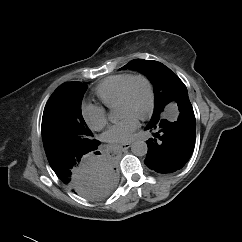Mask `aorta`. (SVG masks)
<instances>
[{"mask_svg":"<svg viewBox=\"0 0 242 242\" xmlns=\"http://www.w3.org/2000/svg\"><path fill=\"white\" fill-rule=\"evenodd\" d=\"M117 117L114 113H109L108 120L111 122L116 121ZM131 151L135 156L142 157L145 156L148 152V146L146 142L138 140L132 143L131 145Z\"/></svg>","mask_w":242,"mask_h":242,"instance_id":"aorta-1","label":"aorta"}]
</instances>
